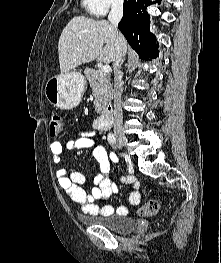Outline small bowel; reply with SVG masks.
<instances>
[{"instance_id":"c3829d8e","label":"small bowel","mask_w":221,"mask_h":263,"mask_svg":"<svg viewBox=\"0 0 221 263\" xmlns=\"http://www.w3.org/2000/svg\"><path fill=\"white\" fill-rule=\"evenodd\" d=\"M97 132L77 131L73 137H65L63 141H54L50 144V152L53 162L57 165L56 178L59 186L66 194L76 202L83 212L91 215H111L114 208L111 205L100 206L99 203L106 201L113 194L118 192V187L110 176L111 162L117 163L118 157L114 153H108L107 150L96 141ZM73 149H90L99 165V173L93 180V186L87 193L80 185L85 182V176L79 171H72L61 164L65 151ZM122 183L132 186V192L129 195L131 205L140 203V184L135 176L128 174L121 178ZM128 208L124 205L116 209L119 215H125Z\"/></svg>"}]
</instances>
